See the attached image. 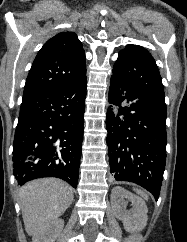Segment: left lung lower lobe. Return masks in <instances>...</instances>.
<instances>
[{"mask_svg":"<svg viewBox=\"0 0 187 242\" xmlns=\"http://www.w3.org/2000/svg\"><path fill=\"white\" fill-rule=\"evenodd\" d=\"M106 129L110 172L159 198L166 162V104L111 77Z\"/></svg>","mask_w":187,"mask_h":242,"instance_id":"obj_1","label":"left lung lower lobe"}]
</instances>
